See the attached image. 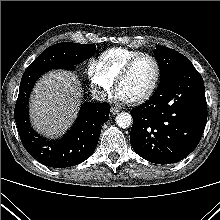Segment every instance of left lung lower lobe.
Masks as SVG:
<instances>
[{
  "label": "left lung lower lobe",
  "mask_w": 220,
  "mask_h": 220,
  "mask_svg": "<svg viewBox=\"0 0 220 220\" xmlns=\"http://www.w3.org/2000/svg\"><path fill=\"white\" fill-rule=\"evenodd\" d=\"M130 113V142L139 156L156 164L184 159L198 145L207 121L202 76L194 66L174 71Z\"/></svg>",
  "instance_id": "1"
}]
</instances>
